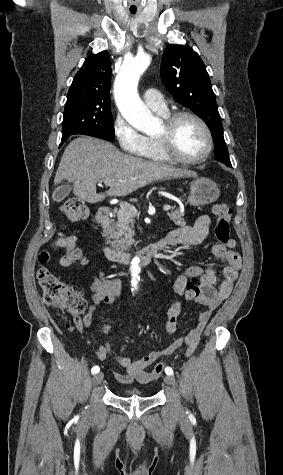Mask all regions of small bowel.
Returning <instances> with one entry per match:
<instances>
[{"label":"small bowel","instance_id":"small-bowel-1","mask_svg":"<svg viewBox=\"0 0 283 475\" xmlns=\"http://www.w3.org/2000/svg\"><path fill=\"white\" fill-rule=\"evenodd\" d=\"M211 219L208 215L199 216L194 225L183 226L171 232L165 237V246H198L203 244L210 232ZM235 242L231 240L228 244L215 243L212 245V254L225 262L222 270L223 280L216 287L217 272L213 268L203 269L199 266L188 267L174 282V291L181 295L182 280L190 279L192 274H199L205 295L199 296L197 303L204 306L199 313L195 327L186 335L178 337L171 345L161 351H152L139 359H131L112 350L111 343L106 340L97 351L96 356L99 360H105L112 357L123 372L114 371V379L121 384L138 382L146 384L157 380L163 373L165 361L161 360L162 354L168 356L173 354L180 346H185V354L189 356L195 350L200 336L211 319L216 309L231 295L234 284L238 278L241 267L240 255L233 251ZM92 302L84 316L83 324L89 327L92 321L93 311L103 305L114 303L121 294V282L116 278H109L105 273L99 276L91 284ZM171 312V307L168 313ZM180 313V311H178ZM168 315V314H167ZM155 364L151 371L146 368Z\"/></svg>","mask_w":283,"mask_h":475}]
</instances>
